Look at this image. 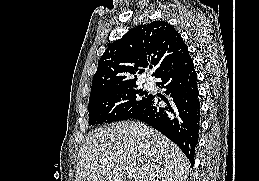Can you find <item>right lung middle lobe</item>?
I'll list each match as a JSON object with an SVG mask.
<instances>
[{
    "label": "right lung middle lobe",
    "mask_w": 259,
    "mask_h": 181,
    "mask_svg": "<svg viewBox=\"0 0 259 181\" xmlns=\"http://www.w3.org/2000/svg\"><path fill=\"white\" fill-rule=\"evenodd\" d=\"M136 86L105 91L89 98V125L131 118L146 105L150 95Z\"/></svg>",
    "instance_id": "right-lung-middle-lobe-1"
}]
</instances>
